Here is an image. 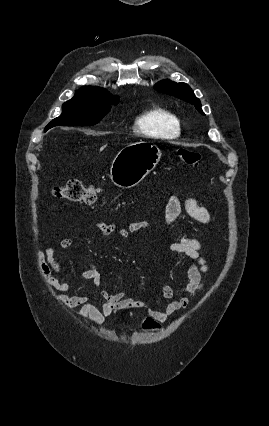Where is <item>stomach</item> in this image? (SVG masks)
Masks as SVG:
<instances>
[{"instance_id": "obj_1", "label": "stomach", "mask_w": 269, "mask_h": 426, "mask_svg": "<svg viewBox=\"0 0 269 426\" xmlns=\"http://www.w3.org/2000/svg\"><path fill=\"white\" fill-rule=\"evenodd\" d=\"M160 149L151 143L140 141L129 144L114 158L110 179L123 189L138 185L158 164Z\"/></svg>"}]
</instances>
